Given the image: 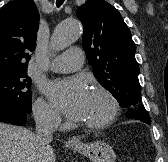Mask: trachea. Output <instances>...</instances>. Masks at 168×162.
Wrapping results in <instances>:
<instances>
[{
    "label": "trachea",
    "instance_id": "obj_1",
    "mask_svg": "<svg viewBox=\"0 0 168 162\" xmlns=\"http://www.w3.org/2000/svg\"><path fill=\"white\" fill-rule=\"evenodd\" d=\"M64 0H56L57 7H60L63 4Z\"/></svg>",
    "mask_w": 168,
    "mask_h": 162
}]
</instances>
